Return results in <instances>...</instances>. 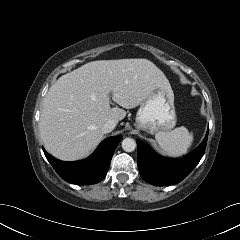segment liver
Masks as SVG:
<instances>
[{
  "label": "liver",
  "mask_w": 240,
  "mask_h": 240,
  "mask_svg": "<svg viewBox=\"0 0 240 240\" xmlns=\"http://www.w3.org/2000/svg\"><path fill=\"white\" fill-rule=\"evenodd\" d=\"M171 90L164 73L147 59L98 60L62 75L47 92L39 130L46 150L73 161L86 157L102 140L103 124L125 118L124 109L141 104L156 88Z\"/></svg>",
  "instance_id": "liver-1"
}]
</instances>
